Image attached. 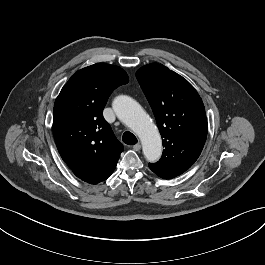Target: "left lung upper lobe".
<instances>
[{"mask_svg":"<svg viewBox=\"0 0 265 265\" xmlns=\"http://www.w3.org/2000/svg\"><path fill=\"white\" fill-rule=\"evenodd\" d=\"M136 78L152 108L163 138V154L149 168L163 179L181 175L198 159L208 124L204 104L195 88L162 64L151 63Z\"/></svg>","mask_w":265,"mask_h":265,"instance_id":"obj_1","label":"left lung upper lobe"}]
</instances>
